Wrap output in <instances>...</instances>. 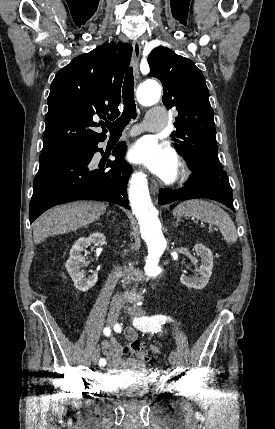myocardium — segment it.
<instances>
[{"mask_svg": "<svg viewBox=\"0 0 275 429\" xmlns=\"http://www.w3.org/2000/svg\"><path fill=\"white\" fill-rule=\"evenodd\" d=\"M189 177H190V171L188 167L184 163H181L179 167V171L177 173V179L181 183H184L189 179Z\"/></svg>", "mask_w": 275, "mask_h": 429, "instance_id": "f54148a6", "label": "myocardium"}]
</instances>
